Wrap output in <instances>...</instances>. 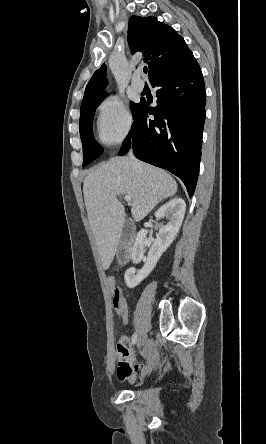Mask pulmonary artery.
<instances>
[{"mask_svg": "<svg viewBox=\"0 0 266 444\" xmlns=\"http://www.w3.org/2000/svg\"><path fill=\"white\" fill-rule=\"evenodd\" d=\"M139 75H140L139 72L135 73V75L131 81V85L135 91L142 92L144 89V83L142 81L138 80Z\"/></svg>", "mask_w": 266, "mask_h": 444, "instance_id": "pulmonary-artery-1", "label": "pulmonary artery"}]
</instances>
